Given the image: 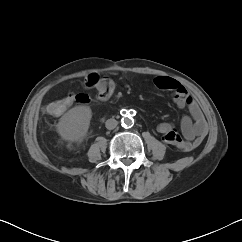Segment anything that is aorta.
<instances>
[{
	"instance_id": "obj_1",
	"label": "aorta",
	"mask_w": 242,
	"mask_h": 242,
	"mask_svg": "<svg viewBox=\"0 0 242 242\" xmlns=\"http://www.w3.org/2000/svg\"><path fill=\"white\" fill-rule=\"evenodd\" d=\"M121 124L124 128L131 127L134 124V119L130 114H124L121 119Z\"/></svg>"
}]
</instances>
